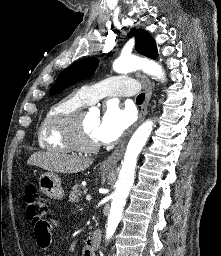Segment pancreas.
<instances>
[{"instance_id":"pancreas-1","label":"pancreas","mask_w":221,"mask_h":256,"mask_svg":"<svg viewBox=\"0 0 221 256\" xmlns=\"http://www.w3.org/2000/svg\"><path fill=\"white\" fill-rule=\"evenodd\" d=\"M82 193H83V191H82L81 186H79V185L73 186L72 190L69 193V201L78 203L79 198L81 197Z\"/></svg>"}]
</instances>
